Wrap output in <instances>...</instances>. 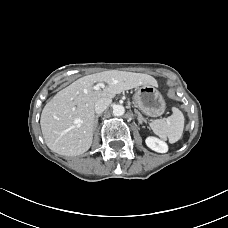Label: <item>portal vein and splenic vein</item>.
I'll use <instances>...</instances> for the list:
<instances>
[{
    "instance_id": "portal-vein-and-splenic-vein-1",
    "label": "portal vein and splenic vein",
    "mask_w": 228,
    "mask_h": 228,
    "mask_svg": "<svg viewBox=\"0 0 228 228\" xmlns=\"http://www.w3.org/2000/svg\"><path fill=\"white\" fill-rule=\"evenodd\" d=\"M105 87V85L103 84V83H98V84H96L94 87H93V89L94 90H99L100 88H104Z\"/></svg>"
}]
</instances>
